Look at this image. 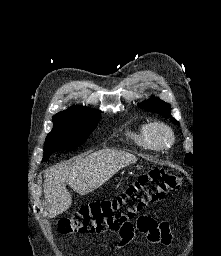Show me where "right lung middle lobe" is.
I'll return each instance as SVG.
<instances>
[{
  "label": "right lung middle lobe",
  "mask_w": 221,
  "mask_h": 256,
  "mask_svg": "<svg viewBox=\"0 0 221 256\" xmlns=\"http://www.w3.org/2000/svg\"><path fill=\"white\" fill-rule=\"evenodd\" d=\"M99 113L84 107L77 113L53 116V129L46 137L42 161L57 150L81 146L97 127Z\"/></svg>",
  "instance_id": "right-lung-middle-lobe-1"
}]
</instances>
